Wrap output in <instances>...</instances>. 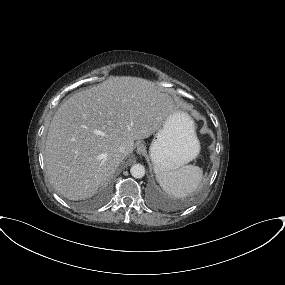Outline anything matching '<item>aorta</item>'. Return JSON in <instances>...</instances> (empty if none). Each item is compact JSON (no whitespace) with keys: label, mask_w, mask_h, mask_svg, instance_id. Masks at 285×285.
<instances>
[{"label":"aorta","mask_w":285,"mask_h":285,"mask_svg":"<svg viewBox=\"0 0 285 285\" xmlns=\"http://www.w3.org/2000/svg\"><path fill=\"white\" fill-rule=\"evenodd\" d=\"M130 173L134 178H142L145 175V167L142 164H134L131 166Z\"/></svg>","instance_id":"1"}]
</instances>
